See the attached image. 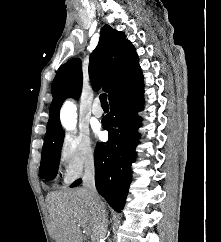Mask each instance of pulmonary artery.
Here are the masks:
<instances>
[{
  "instance_id": "pulmonary-artery-1",
  "label": "pulmonary artery",
  "mask_w": 221,
  "mask_h": 242,
  "mask_svg": "<svg viewBox=\"0 0 221 242\" xmlns=\"http://www.w3.org/2000/svg\"><path fill=\"white\" fill-rule=\"evenodd\" d=\"M91 112H92L93 116H95L96 118L102 117L103 109L100 106V101L98 98L94 100Z\"/></svg>"
}]
</instances>
